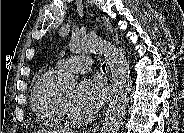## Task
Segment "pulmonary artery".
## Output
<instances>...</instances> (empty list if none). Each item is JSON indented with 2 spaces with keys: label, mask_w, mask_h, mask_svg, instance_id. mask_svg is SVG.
Here are the masks:
<instances>
[{
  "label": "pulmonary artery",
  "mask_w": 184,
  "mask_h": 133,
  "mask_svg": "<svg viewBox=\"0 0 184 133\" xmlns=\"http://www.w3.org/2000/svg\"><path fill=\"white\" fill-rule=\"evenodd\" d=\"M91 59L84 55H75L57 63L59 70H69L74 73H85L90 69Z\"/></svg>",
  "instance_id": "e3ab8cb5"
}]
</instances>
